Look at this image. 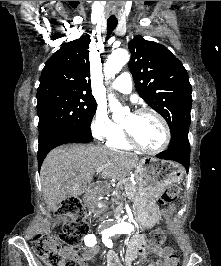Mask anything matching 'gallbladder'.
Instances as JSON below:
<instances>
[{"mask_svg":"<svg viewBox=\"0 0 221 266\" xmlns=\"http://www.w3.org/2000/svg\"><path fill=\"white\" fill-rule=\"evenodd\" d=\"M84 191V188L83 187H80L79 189L75 190V191H71L69 192V196H78L80 194H82Z\"/></svg>","mask_w":221,"mask_h":266,"instance_id":"bac80fb5","label":"gallbladder"}]
</instances>
